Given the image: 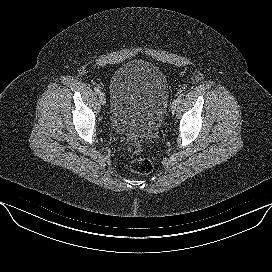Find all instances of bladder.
<instances>
[{"instance_id": "31cf9c89", "label": "bladder", "mask_w": 272, "mask_h": 272, "mask_svg": "<svg viewBox=\"0 0 272 272\" xmlns=\"http://www.w3.org/2000/svg\"><path fill=\"white\" fill-rule=\"evenodd\" d=\"M169 103V86L156 65L132 60L110 82L109 126L128 138H144L161 126Z\"/></svg>"}]
</instances>
